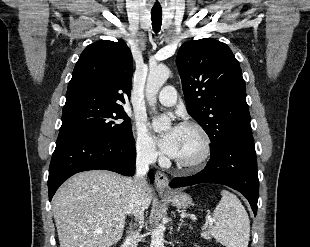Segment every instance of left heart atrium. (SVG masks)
<instances>
[{
  "instance_id": "obj_1",
  "label": "left heart atrium",
  "mask_w": 310,
  "mask_h": 247,
  "mask_svg": "<svg viewBox=\"0 0 310 247\" xmlns=\"http://www.w3.org/2000/svg\"><path fill=\"white\" fill-rule=\"evenodd\" d=\"M179 126H173L159 138V145L163 152L170 157H175L179 138Z\"/></svg>"
}]
</instances>
